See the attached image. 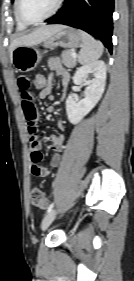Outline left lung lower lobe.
Instances as JSON below:
<instances>
[{
  "label": "left lung lower lobe",
  "instance_id": "obj_1",
  "mask_svg": "<svg viewBox=\"0 0 134 281\" xmlns=\"http://www.w3.org/2000/svg\"><path fill=\"white\" fill-rule=\"evenodd\" d=\"M114 0H66L62 10L48 24H65L97 36L112 52Z\"/></svg>",
  "mask_w": 134,
  "mask_h": 281
}]
</instances>
